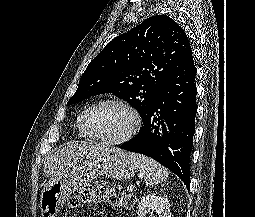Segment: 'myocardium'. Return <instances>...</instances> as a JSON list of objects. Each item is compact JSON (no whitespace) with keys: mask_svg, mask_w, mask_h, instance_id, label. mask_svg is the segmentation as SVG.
<instances>
[{"mask_svg":"<svg viewBox=\"0 0 255 217\" xmlns=\"http://www.w3.org/2000/svg\"><path fill=\"white\" fill-rule=\"evenodd\" d=\"M104 104H115V105H119L123 108H125L131 115L132 118V124L130 126V128L128 129V131L121 136L120 138L117 139H105L102 138L100 136H98L97 134H95L89 124V116L91 111L100 106V105H104ZM141 116L138 112V110L128 101L124 100V99H120V98H105V99H101L95 103H93L92 105H90L83 114V127L85 129V131L87 132V134L90 136V138H93L103 144L106 145H111V146H115V145H120L123 144L127 141H129L140 129L141 127Z\"/></svg>","mask_w":255,"mask_h":217,"instance_id":"f54148a6","label":"myocardium"}]
</instances>
